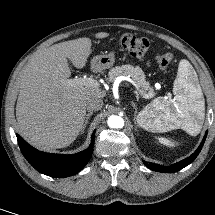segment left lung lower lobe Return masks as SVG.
Returning <instances> with one entry per match:
<instances>
[{"label": "left lung lower lobe", "instance_id": "0a47b994", "mask_svg": "<svg viewBox=\"0 0 215 215\" xmlns=\"http://www.w3.org/2000/svg\"><path fill=\"white\" fill-rule=\"evenodd\" d=\"M206 136H207V132L205 133V136H204L201 144L199 145L197 150L191 156H189L188 158H186V159H184V160H182L180 162H177V163H175V164H173L171 166H162V165H159V164L149 163V162H146V161H143V163L149 169L157 171V172H164V173L177 172V171L181 170L182 168L186 167L187 165H189L190 163H192L196 159V157L198 156V154L200 153V151H201V149H202V147L204 145Z\"/></svg>", "mask_w": 215, "mask_h": 215}]
</instances>
